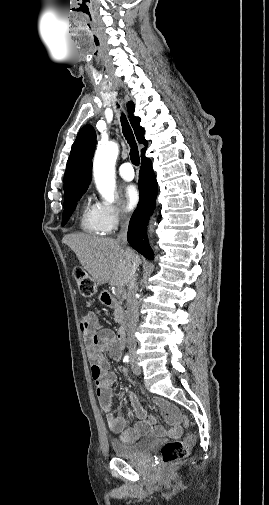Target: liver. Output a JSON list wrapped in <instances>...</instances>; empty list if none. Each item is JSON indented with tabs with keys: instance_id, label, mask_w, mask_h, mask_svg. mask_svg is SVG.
I'll use <instances>...</instances> for the list:
<instances>
[{
	"instance_id": "obj_1",
	"label": "liver",
	"mask_w": 269,
	"mask_h": 505,
	"mask_svg": "<svg viewBox=\"0 0 269 505\" xmlns=\"http://www.w3.org/2000/svg\"><path fill=\"white\" fill-rule=\"evenodd\" d=\"M62 243L74 251L97 284L109 282L112 286L123 287L131 280L133 267L141 263L139 255L124 248L117 239L72 233L65 235Z\"/></svg>"
}]
</instances>
